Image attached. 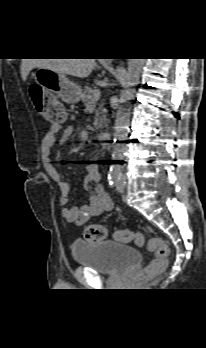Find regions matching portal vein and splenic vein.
<instances>
[{"label": "portal vein and splenic vein", "instance_id": "obj_1", "mask_svg": "<svg viewBox=\"0 0 206 348\" xmlns=\"http://www.w3.org/2000/svg\"><path fill=\"white\" fill-rule=\"evenodd\" d=\"M100 95H101V92H100L99 89H95V90H93L92 93H91V97H92V99H94V100H98V99L100 98Z\"/></svg>", "mask_w": 206, "mask_h": 348}]
</instances>
